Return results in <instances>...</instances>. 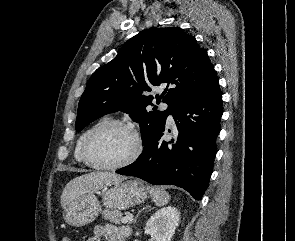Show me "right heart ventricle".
Here are the masks:
<instances>
[{
    "label": "right heart ventricle",
    "mask_w": 295,
    "mask_h": 241,
    "mask_svg": "<svg viewBox=\"0 0 295 241\" xmlns=\"http://www.w3.org/2000/svg\"><path fill=\"white\" fill-rule=\"evenodd\" d=\"M111 120L110 117L108 116H103L101 118H99L97 121H95L92 125H90L89 127H87L78 137L76 144H75V148H74V159L78 164H85L84 160H83V156H82V150H83V145L85 143V140L87 139V137L89 136V134L100 124Z\"/></svg>",
    "instance_id": "e07e8e85"
}]
</instances>
